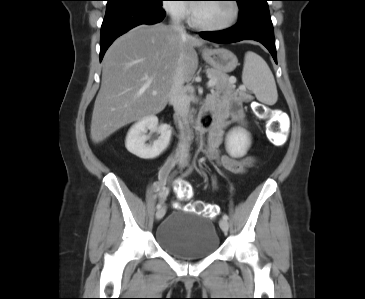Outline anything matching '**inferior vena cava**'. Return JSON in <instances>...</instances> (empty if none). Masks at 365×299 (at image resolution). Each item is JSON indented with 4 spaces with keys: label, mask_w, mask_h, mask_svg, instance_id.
<instances>
[{
    "label": "inferior vena cava",
    "mask_w": 365,
    "mask_h": 299,
    "mask_svg": "<svg viewBox=\"0 0 365 299\" xmlns=\"http://www.w3.org/2000/svg\"><path fill=\"white\" fill-rule=\"evenodd\" d=\"M182 17V13L177 11L172 18L173 26L175 29L181 32L182 35H185V30L183 27L179 25ZM183 78H182V68L179 66L175 72L173 78V85L170 92L169 102L173 105L174 110L178 116L183 119V123L186 124L185 118L189 111L190 100L187 96L185 90L183 89ZM188 136L183 135L182 142L179 146L178 157L186 158L188 156Z\"/></svg>",
    "instance_id": "obj_1"
}]
</instances>
